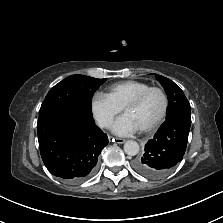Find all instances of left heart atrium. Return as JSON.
Masks as SVG:
<instances>
[{"instance_id": "1", "label": "left heart atrium", "mask_w": 223, "mask_h": 223, "mask_svg": "<svg viewBox=\"0 0 223 223\" xmlns=\"http://www.w3.org/2000/svg\"><path fill=\"white\" fill-rule=\"evenodd\" d=\"M111 129L115 134L119 136H129L139 130L136 123L126 114L119 117L113 123Z\"/></svg>"}]
</instances>
